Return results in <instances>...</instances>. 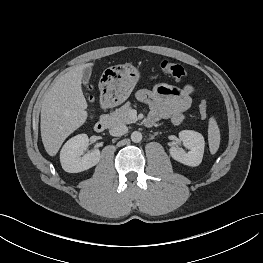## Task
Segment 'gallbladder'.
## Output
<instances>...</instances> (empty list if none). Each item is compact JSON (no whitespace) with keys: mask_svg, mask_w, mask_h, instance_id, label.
Returning <instances> with one entry per match:
<instances>
[{"mask_svg":"<svg viewBox=\"0 0 263 263\" xmlns=\"http://www.w3.org/2000/svg\"><path fill=\"white\" fill-rule=\"evenodd\" d=\"M91 68L90 67H86L84 70H83V77H82V81H83V84L86 85L88 82H89V79H90V76H91Z\"/></svg>","mask_w":263,"mask_h":263,"instance_id":"1","label":"gallbladder"}]
</instances>
